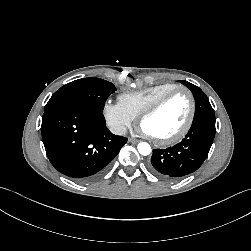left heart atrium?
<instances>
[{"label": "left heart atrium", "instance_id": "obj_1", "mask_svg": "<svg viewBox=\"0 0 251 251\" xmlns=\"http://www.w3.org/2000/svg\"><path fill=\"white\" fill-rule=\"evenodd\" d=\"M141 131H142L144 134L149 135V133L146 131V129L143 128L142 126H141Z\"/></svg>", "mask_w": 251, "mask_h": 251}]
</instances>
